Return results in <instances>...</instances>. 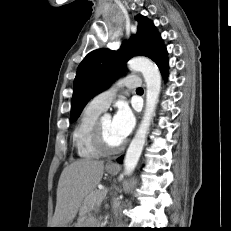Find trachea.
Here are the masks:
<instances>
[{
  "label": "trachea",
  "mask_w": 231,
  "mask_h": 231,
  "mask_svg": "<svg viewBox=\"0 0 231 231\" xmlns=\"http://www.w3.org/2000/svg\"><path fill=\"white\" fill-rule=\"evenodd\" d=\"M136 91H143V89L142 88H138Z\"/></svg>",
  "instance_id": "trachea-1"
}]
</instances>
